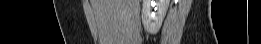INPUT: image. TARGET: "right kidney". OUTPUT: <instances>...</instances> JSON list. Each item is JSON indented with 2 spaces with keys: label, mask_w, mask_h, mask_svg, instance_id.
<instances>
[{
  "label": "right kidney",
  "mask_w": 261,
  "mask_h": 44,
  "mask_svg": "<svg viewBox=\"0 0 261 44\" xmlns=\"http://www.w3.org/2000/svg\"><path fill=\"white\" fill-rule=\"evenodd\" d=\"M169 2L170 0H143L142 23L148 33L155 34L159 31ZM152 7H155L156 12L151 11Z\"/></svg>",
  "instance_id": "right-kidney-1"
}]
</instances>
